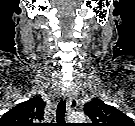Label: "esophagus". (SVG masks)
I'll use <instances>...</instances> for the list:
<instances>
[{"instance_id":"esophagus-1","label":"esophagus","mask_w":135,"mask_h":126,"mask_svg":"<svg viewBox=\"0 0 135 126\" xmlns=\"http://www.w3.org/2000/svg\"><path fill=\"white\" fill-rule=\"evenodd\" d=\"M65 96L68 99V103H67V112H71V110H73L74 108H76V106L78 105V100L77 98L73 95L72 92L67 91L65 93Z\"/></svg>"}]
</instances>
